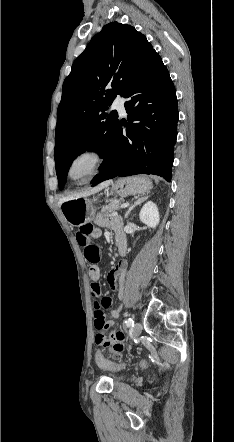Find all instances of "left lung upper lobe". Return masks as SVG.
<instances>
[{
  "label": "left lung upper lobe",
  "instance_id": "5c2ea615",
  "mask_svg": "<svg viewBox=\"0 0 234 442\" xmlns=\"http://www.w3.org/2000/svg\"><path fill=\"white\" fill-rule=\"evenodd\" d=\"M154 52L133 26L112 22L76 58L57 111L54 157L60 190L72 161L86 149H95L105 161L119 124L116 111H105L116 95L123 96Z\"/></svg>",
  "mask_w": 234,
  "mask_h": 442
}]
</instances>
